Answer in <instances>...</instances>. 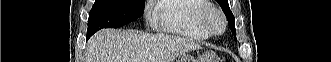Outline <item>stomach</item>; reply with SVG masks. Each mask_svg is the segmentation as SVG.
I'll return each mask as SVG.
<instances>
[{
	"instance_id": "obj_1",
	"label": "stomach",
	"mask_w": 331,
	"mask_h": 62,
	"mask_svg": "<svg viewBox=\"0 0 331 62\" xmlns=\"http://www.w3.org/2000/svg\"><path fill=\"white\" fill-rule=\"evenodd\" d=\"M204 59L203 60H206L208 62H216V61H213V60H216L215 59V54L213 52H206L204 55H203ZM171 62H195L194 59L188 55H185V54H181V55H178L176 56L175 58H173L171 60Z\"/></svg>"
}]
</instances>
